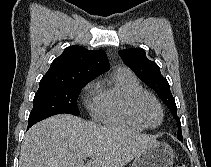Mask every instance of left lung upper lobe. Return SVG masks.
<instances>
[{
    "label": "left lung upper lobe",
    "mask_w": 211,
    "mask_h": 167,
    "mask_svg": "<svg viewBox=\"0 0 211 167\" xmlns=\"http://www.w3.org/2000/svg\"><path fill=\"white\" fill-rule=\"evenodd\" d=\"M119 55L135 74L159 95L161 100L169 108L177 121V138L183 139L175 99L171 94L169 83L161 75L159 66L155 62L147 59L146 53L142 49L131 48L120 50Z\"/></svg>",
    "instance_id": "obj_1"
}]
</instances>
